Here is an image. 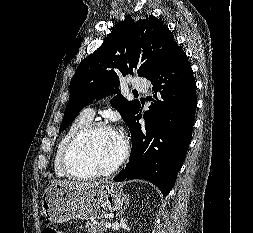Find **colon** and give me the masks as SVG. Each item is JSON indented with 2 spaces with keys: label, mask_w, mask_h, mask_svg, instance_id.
<instances>
[{
  "label": "colon",
  "mask_w": 253,
  "mask_h": 233,
  "mask_svg": "<svg viewBox=\"0 0 253 233\" xmlns=\"http://www.w3.org/2000/svg\"><path fill=\"white\" fill-rule=\"evenodd\" d=\"M43 233H62L59 227L55 224H48L45 226Z\"/></svg>",
  "instance_id": "1"
}]
</instances>
